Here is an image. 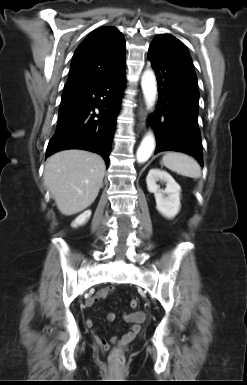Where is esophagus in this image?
Returning a JSON list of instances; mask_svg holds the SVG:
<instances>
[{"mask_svg": "<svg viewBox=\"0 0 247 385\" xmlns=\"http://www.w3.org/2000/svg\"><path fill=\"white\" fill-rule=\"evenodd\" d=\"M139 115H140V119L142 121L141 125H143V120H144V111H143V109H140Z\"/></svg>", "mask_w": 247, "mask_h": 385, "instance_id": "obj_1", "label": "esophagus"}]
</instances>
